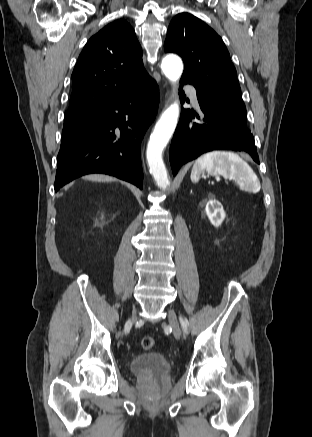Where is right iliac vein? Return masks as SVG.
Wrapping results in <instances>:
<instances>
[{
    "mask_svg": "<svg viewBox=\"0 0 312 437\" xmlns=\"http://www.w3.org/2000/svg\"><path fill=\"white\" fill-rule=\"evenodd\" d=\"M135 318H136V315L134 314V315L132 316V321L135 320ZM129 325H131V321H129Z\"/></svg>",
    "mask_w": 312,
    "mask_h": 437,
    "instance_id": "63e3f726",
    "label": "right iliac vein"
}]
</instances>
